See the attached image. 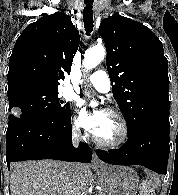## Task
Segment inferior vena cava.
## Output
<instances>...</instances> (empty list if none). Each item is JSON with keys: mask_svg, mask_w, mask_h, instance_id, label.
<instances>
[{"mask_svg": "<svg viewBox=\"0 0 178 195\" xmlns=\"http://www.w3.org/2000/svg\"><path fill=\"white\" fill-rule=\"evenodd\" d=\"M78 144V138H75L74 139V145L77 146ZM79 170H80V166L78 163H73L72 166H71V174L73 176H77L78 173H79Z\"/></svg>", "mask_w": 178, "mask_h": 195, "instance_id": "1", "label": "inferior vena cava"}]
</instances>
